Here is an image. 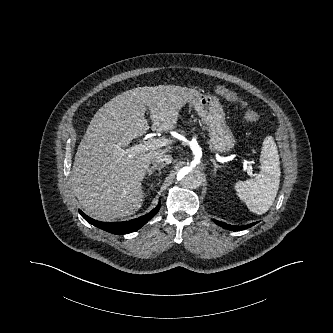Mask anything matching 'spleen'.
I'll use <instances>...</instances> for the list:
<instances>
[{
	"instance_id": "spleen-1",
	"label": "spleen",
	"mask_w": 333,
	"mask_h": 333,
	"mask_svg": "<svg viewBox=\"0 0 333 333\" xmlns=\"http://www.w3.org/2000/svg\"><path fill=\"white\" fill-rule=\"evenodd\" d=\"M261 172L254 179L235 184L240 199L249 210L261 215L272 206L280 183V161L276 143L272 136L265 138L260 155Z\"/></svg>"
}]
</instances>
